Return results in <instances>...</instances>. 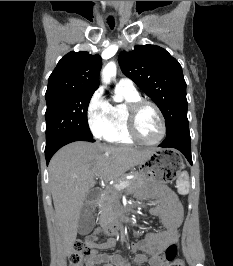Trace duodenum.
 <instances>
[{"label":"duodenum","instance_id":"1","mask_svg":"<svg viewBox=\"0 0 233 266\" xmlns=\"http://www.w3.org/2000/svg\"><path fill=\"white\" fill-rule=\"evenodd\" d=\"M99 197H100V191L99 190L96 189V190H93L91 192V199L93 201H95V202L98 201ZM127 217H128V212L126 210H122L119 213V215L117 216V218L105 227V231L108 234L116 233L122 227V225L126 221Z\"/></svg>","mask_w":233,"mask_h":266}]
</instances>
